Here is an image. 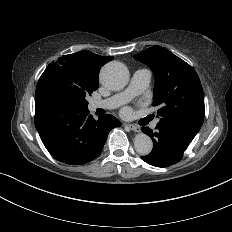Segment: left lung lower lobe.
Listing matches in <instances>:
<instances>
[{
	"instance_id": "1",
	"label": "left lung lower lobe",
	"mask_w": 232,
	"mask_h": 232,
	"mask_svg": "<svg viewBox=\"0 0 232 232\" xmlns=\"http://www.w3.org/2000/svg\"><path fill=\"white\" fill-rule=\"evenodd\" d=\"M141 130L153 141L151 153L141 158L155 167H168L179 162L191 143L184 137L159 125L156 126V131L148 127H142Z\"/></svg>"
}]
</instances>
